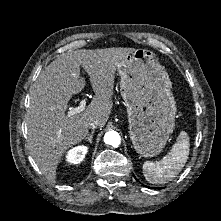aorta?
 Here are the masks:
<instances>
[{
	"label": "aorta",
	"instance_id": "aorta-1",
	"mask_svg": "<svg viewBox=\"0 0 221 221\" xmlns=\"http://www.w3.org/2000/svg\"><path fill=\"white\" fill-rule=\"evenodd\" d=\"M104 142L107 145L118 147L121 143L120 135L116 131H109L104 135Z\"/></svg>",
	"mask_w": 221,
	"mask_h": 221
}]
</instances>
